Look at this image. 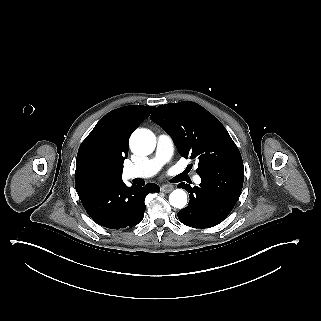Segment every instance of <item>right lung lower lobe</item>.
I'll list each match as a JSON object with an SVG mask.
<instances>
[{
  "mask_svg": "<svg viewBox=\"0 0 321 321\" xmlns=\"http://www.w3.org/2000/svg\"><path fill=\"white\" fill-rule=\"evenodd\" d=\"M160 187L148 183L145 187L115 185L91 186L78 191L88 215L99 225L110 229L133 227L143 219L145 197L159 192Z\"/></svg>",
  "mask_w": 321,
  "mask_h": 321,
  "instance_id": "right-lung-lower-lobe-1",
  "label": "right lung lower lobe"
}]
</instances>
